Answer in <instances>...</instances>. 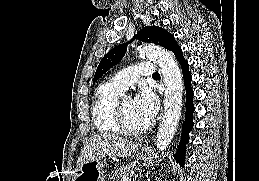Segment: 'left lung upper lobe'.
Returning a JSON list of instances; mask_svg holds the SVG:
<instances>
[{"mask_svg": "<svg viewBox=\"0 0 259 181\" xmlns=\"http://www.w3.org/2000/svg\"><path fill=\"white\" fill-rule=\"evenodd\" d=\"M135 39H139L143 42L154 43L166 49H170V47L176 43L172 34L158 26L144 27L130 40V42ZM127 44L128 43H123L114 47L102 58L94 75L93 85L104 73L123 58L126 53Z\"/></svg>", "mask_w": 259, "mask_h": 181, "instance_id": "obj_1", "label": "left lung upper lobe"}]
</instances>
